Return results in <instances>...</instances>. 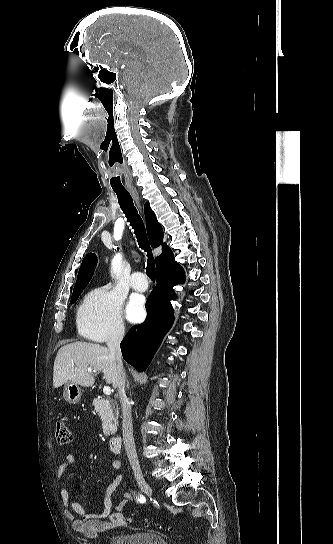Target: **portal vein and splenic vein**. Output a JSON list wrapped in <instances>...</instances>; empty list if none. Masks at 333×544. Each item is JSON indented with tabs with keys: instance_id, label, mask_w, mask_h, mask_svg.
Here are the masks:
<instances>
[{
	"instance_id": "portal-vein-and-splenic-vein-1",
	"label": "portal vein and splenic vein",
	"mask_w": 333,
	"mask_h": 544,
	"mask_svg": "<svg viewBox=\"0 0 333 544\" xmlns=\"http://www.w3.org/2000/svg\"><path fill=\"white\" fill-rule=\"evenodd\" d=\"M71 365L74 366V363H72ZM88 373L89 374H94L92 368L88 369ZM103 392L106 395H110L111 394V388L109 386H104L103 387Z\"/></svg>"
}]
</instances>
